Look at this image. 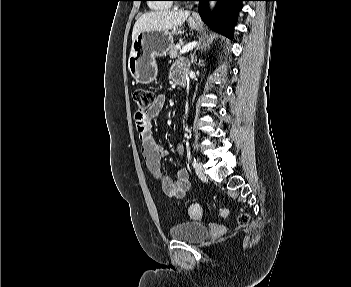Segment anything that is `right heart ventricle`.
I'll list each match as a JSON object with an SVG mask.
<instances>
[{"label": "right heart ventricle", "instance_id": "1", "mask_svg": "<svg viewBox=\"0 0 351 287\" xmlns=\"http://www.w3.org/2000/svg\"><path fill=\"white\" fill-rule=\"evenodd\" d=\"M150 8L153 10H164L167 8L166 4L161 3V0H151Z\"/></svg>", "mask_w": 351, "mask_h": 287}]
</instances>
